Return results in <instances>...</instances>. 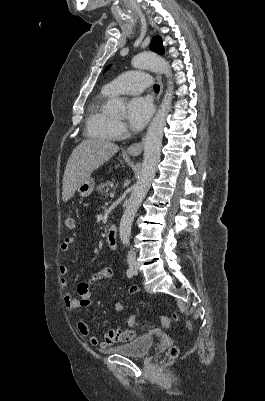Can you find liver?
Segmentation results:
<instances>
[{
  "instance_id": "1",
  "label": "liver",
  "mask_w": 265,
  "mask_h": 401,
  "mask_svg": "<svg viewBox=\"0 0 265 401\" xmlns=\"http://www.w3.org/2000/svg\"><path fill=\"white\" fill-rule=\"evenodd\" d=\"M118 150V144L110 140L101 138L82 140L69 156L64 170L62 201L67 203L82 180L90 176L93 170H97Z\"/></svg>"
}]
</instances>
